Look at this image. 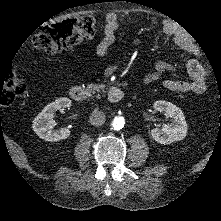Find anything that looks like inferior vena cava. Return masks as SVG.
<instances>
[{"label": "inferior vena cava", "instance_id": "602c4592", "mask_svg": "<svg viewBox=\"0 0 221 221\" xmlns=\"http://www.w3.org/2000/svg\"><path fill=\"white\" fill-rule=\"evenodd\" d=\"M106 121V116L102 111L94 110L89 116V122L93 126H102Z\"/></svg>", "mask_w": 221, "mask_h": 221}]
</instances>
